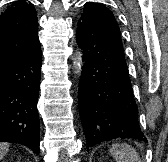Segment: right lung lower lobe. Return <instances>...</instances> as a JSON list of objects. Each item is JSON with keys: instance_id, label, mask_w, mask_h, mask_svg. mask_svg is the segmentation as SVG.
<instances>
[{"instance_id": "obj_1", "label": "right lung lower lobe", "mask_w": 168, "mask_h": 162, "mask_svg": "<svg viewBox=\"0 0 168 162\" xmlns=\"http://www.w3.org/2000/svg\"><path fill=\"white\" fill-rule=\"evenodd\" d=\"M40 72L41 49L0 67V141L25 145L36 154Z\"/></svg>"}]
</instances>
